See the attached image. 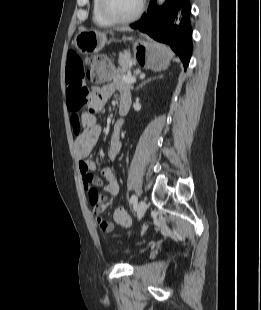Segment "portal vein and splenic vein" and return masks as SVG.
<instances>
[{
  "mask_svg": "<svg viewBox=\"0 0 261 310\" xmlns=\"http://www.w3.org/2000/svg\"><path fill=\"white\" fill-rule=\"evenodd\" d=\"M123 80L128 84H133L136 82V78L132 76H123Z\"/></svg>",
  "mask_w": 261,
  "mask_h": 310,
  "instance_id": "portal-vein-and-splenic-vein-1",
  "label": "portal vein and splenic vein"
}]
</instances>
